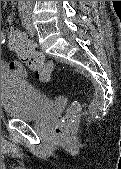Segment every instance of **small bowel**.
<instances>
[{
  "label": "small bowel",
  "mask_w": 121,
  "mask_h": 169,
  "mask_svg": "<svg viewBox=\"0 0 121 169\" xmlns=\"http://www.w3.org/2000/svg\"><path fill=\"white\" fill-rule=\"evenodd\" d=\"M33 46H34V44H33ZM1 68L3 70H10V71H14V72L21 73V74H23L25 72L23 64L18 61H11L9 63L2 62Z\"/></svg>",
  "instance_id": "1"
}]
</instances>
